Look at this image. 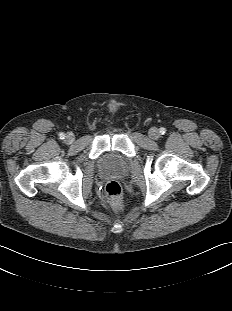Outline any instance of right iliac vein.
<instances>
[{"instance_id": "right-iliac-vein-1", "label": "right iliac vein", "mask_w": 232, "mask_h": 311, "mask_svg": "<svg viewBox=\"0 0 232 311\" xmlns=\"http://www.w3.org/2000/svg\"><path fill=\"white\" fill-rule=\"evenodd\" d=\"M74 140H75V137L73 133H68L65 137V142L67 144H71Z\"/></svg>"}]
</instances>
